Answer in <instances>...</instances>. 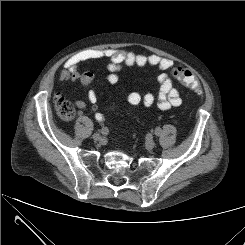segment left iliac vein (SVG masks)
I'll list each match as a JSON object with an SVG mask.
<instances>
[{
  "label": "left iliac vein",
  "instance_id": "left-iliac-vein-1",
  "mask_svg": "<svg viewBox=\"0 0 245 245\" xmlns=\"http://www.w3.org/2000/svg\"><path fill=\"white\" fill-rule=\"evenodd\" d=\"M147 150H152L155 147V142L152 139H148L145 143Z\"/></svg>",
  "mask_w": 245,
  "mask_h": 245
}]
</instances>
